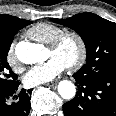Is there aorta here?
<instances>
[{
	"instance_id": "1",
	"label": "aorta",
	"mask_w": 116,
	"mask_h": 116,
	"mask_svg": "<svg viewBox=\"0 0 116 116\" xmlns=\"http://www.w3.org/2000/svg\"><path fill=\"white\" fill-rule=\"evenodd\" d=\"M15 54L24 64H35L45 60L44 48L41 45L29 42H20L16 45ZM58 93L63 99L70 100L76 94L75 85L71 81L63 80L58 84Z\"/></svg>"
}]
</instances>
